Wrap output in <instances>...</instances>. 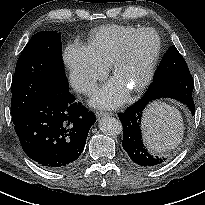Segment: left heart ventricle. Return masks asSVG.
Returning a JSON list of instances; mask_svg holds the SVG:
<instances>
[{"label":"left heart ventricle","instance_id":"obj_1","mask_svg":"<svg viewBox=\"0 0 205 205\" xmlns=\"http://www.w3.org/2000/svg\"><path fill=\"white\" fill-rule=\"evenodd\" d=\"M156 46L157 39L153 33H144L136 38L132 43L130 55L120 66L115 80L126 89L137 85L144 76Z\"/></svg>","mask_w":205,"mask_h":205}]
</instances>
